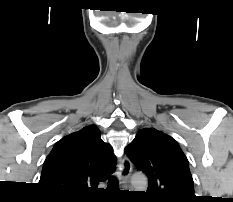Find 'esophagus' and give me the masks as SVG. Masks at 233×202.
Wrapping results in <instances>:
<instances>
[{
	"mask_svg": "<svg viewBox=\"0 0 233 202\" xmlns=\"http://www.w3.org/2000/svg\"><path fill=\"white\" fill-rule=\"evenodd\" d=\"M121 170L119 172V177H120V183L124 186L127 187L129 184L131 172H132V163L129 160L128 157L124 156L121 159Z\"/></svg>",
	"mask_w": 233,
	"mask_h": 202,
	"instance_id": "1",
	"label": "esophagus"
}]
</instances>
